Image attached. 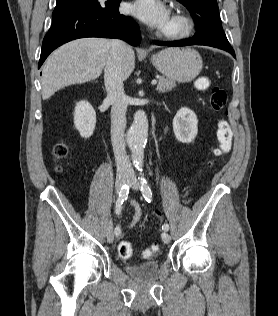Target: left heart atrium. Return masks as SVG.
Segmentation results:
<instances>
[{
  "label": "left heart atrium",
  "mask_w": 278,
  "mask_h": 316,
  "mask_svg": "<svg viewBox=\"0 0 278 316\" xmlns=\"http://www.w3.org/2000/svg\"><path fill=\"white\" fill-rule=\"evenodd\" d=\"M129 11L153 27H163L169 18V11L161 0H135L129 5Z\"/></svg>",
  "instance_id": "39dd6f15"
}]
</instances>
